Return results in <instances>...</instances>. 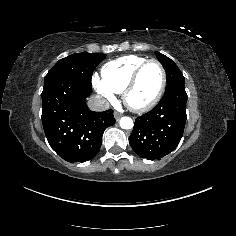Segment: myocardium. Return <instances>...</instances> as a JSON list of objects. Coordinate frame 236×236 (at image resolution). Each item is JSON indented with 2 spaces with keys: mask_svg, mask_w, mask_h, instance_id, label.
I'll return each mask as SVG.
<instances>
[{
  "mask_svg": "<svg viewBox=\"0 0 236 236\" xmlns=\"http://www.w3.org/2000/svg\"><path fill=\"white\" fill-rule=\"evenodd\" d=\"M151 63L157 64L159 66L160 70H161L162 77H161V83H160V86L158 88V91H157L156 95L154 96V98L150 102H148L144 105H133L129 101V94L132 91V89L134 88V86H135L142 70L147 65H149ZM166 84H167V72H166V69H165L164 65L157 59H147L146 61L139 64L136 67V69L134 70V72L132 73L129 81L127 82V84H126V86H125V88L122 92L123 102L132 111H135V112L148 111V110L152 109L153 107H155L159 103V101L161 100V98L163 96Z\"/></svg>",
  "mask_w": 236,
  "mask_h": 236,
  "instance_id": "obj_1",
  "label": "myocardium"
}]
</instances>
